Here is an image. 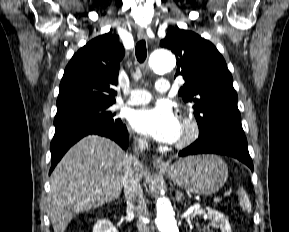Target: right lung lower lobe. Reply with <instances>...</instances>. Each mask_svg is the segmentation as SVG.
Returning a JSON list of instances; mask_svg holds the SVG:
<instances>
[{"label":"right lung lower lobe","mask_w":289,"mask_h":232,"mask_svg":"<svg viewBox=\"0 0 289 232\" xmlns=\"http://www.w3.org/2000/svg\"><path fill=\"white\" fill-rule=\"evenodd\" d=\"M89 134H97L108 137L118 143L123 149H126L128 146L129 137L126 127L122 124V122L108 126L78 125L56 129L50 145V173L67 150L81 138Z\"/></svg>","instance_id":"1"}]
</instances>
